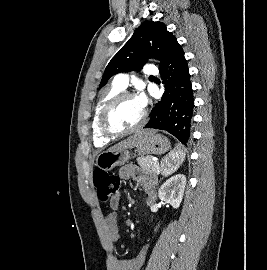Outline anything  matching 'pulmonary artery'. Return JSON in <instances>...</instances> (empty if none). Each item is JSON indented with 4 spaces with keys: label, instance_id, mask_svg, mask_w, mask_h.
<instances>
[{
    "label": "pulmonary artery",
    "instance_id": "obj_1",
    "mask_svg": "<svg viewBox=\"0 0 267 270\" xmlns=\"http://www.w3.org/2000/svg\"><path fill=\"white\" fill-rule=\"evenodd\" d=\"M144 73L148 75H156L158 70L153 65H147L144 69ZM129 75L126 73L117 74L114 78V83L121 89H125L128 86Z\"/></svg>",
    "mask_w": 267,
    "mask_h": 270
}]
</instances>
